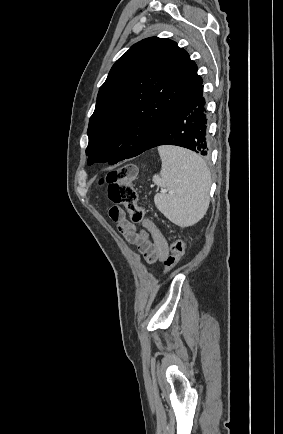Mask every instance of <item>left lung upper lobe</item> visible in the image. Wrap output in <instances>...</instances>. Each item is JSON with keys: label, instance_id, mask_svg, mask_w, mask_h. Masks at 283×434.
Returning <instances> with one entry per match:
<instances>
[{"label": "left lung upper lobe", "instance_id": "5c2ea615", "mask_svg": "<svg viewBox=\"0 0 283 434\" xmlns=\"http://www.w3.org/2000/svg\"><path fill=\"white\" fill-rule=\"evenodd\" d=\"M202 82L176 42L150 37L131 46L99 89L87 131L88 164L141 154L171 110Z\"/></svg>", "mask_w": 283, "mask_h": 434}]
</instances>
